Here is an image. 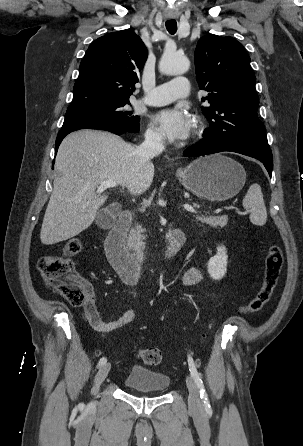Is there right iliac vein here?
Segmentation results:
<instances>
[{
	"instance_id": "obj_1",
	"label": "right iliac vein",
	"mask_w": 303,
	"mask_h": 446,
	"mask_svg": "<svg viewBox=\"0 0 303 446\" xmlns=\"http://www.w3.org/2000/svg\"><path fill=\"white\" fill-rule=\"evenodd\" d=\"M111 369V364L110 363H106L103 366L100 367L96 377H95V381H94V385L92 388V393L94 395H96L99 391V387L101 385V383L105 380V378L107 377L109 371Z\"/></svg>"
}]
</instances>
